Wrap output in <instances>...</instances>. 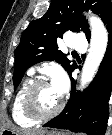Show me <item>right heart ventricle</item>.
I'll list each match as a JSON object with an SVG mask.
<instances>
[{"label": "right heart ventricle", "mask_w": 112, "mask_h": 135, "mask_svg": "<svg viewBox=\"0 0 112 135\" xmlns=\"http://www.w3.org/2000/svg\"><path fill=\"white\" fill-rule=\"evenodd\" d=\"M33 80L31 78H27L23 81L19 89L17 90L12 104H11V117L13 121L20 127L29 128L36 124L37 121L31 119L27 116L23 107V98L26 90L31 85Z\"/></svg>", "instance_id": "right-heart-ventricle-1"}]
</instances>
